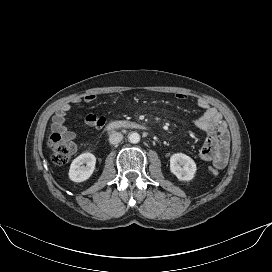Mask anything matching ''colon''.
<instances>
[{
  "label": "colon",
  "instance_id": "1",
  "mask_svg": "<svg viewBox=\"0 0 272 272\" xmlns=\"http://www.w3.org/2000/svg\"><path fill=\"white\" fill-rule=\"evenodd\" d=\"M47 145L51 150V159L56 165L66 164L76 151V145L73 141L65 139L57 132H52L47 138ZM209 173L213 176L219 174V169L210 167Z\"/></svg>",
  "mask_w": 272,
  "mask_h": 272
}]
</instances>
